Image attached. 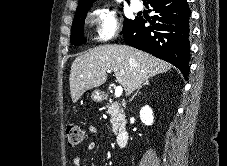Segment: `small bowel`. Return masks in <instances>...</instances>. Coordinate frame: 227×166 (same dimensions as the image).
Instances as JSON below:
<instances>
[{
    "label": "small bowel",
    "mask_w": 227,
    "mask_h": 166,
    "mask_svg": "<svg viewBox=\"0 0 227 166\" xmlns=\"http://www.w3.org/2000/svg\"><path fill=\"white\" fill-rule=\"evenodd\" d=\"M88 131L91 134H95L97 132V128L94 125H90L88 127ZM94 148H95V143L93 141H91L87 144V150H93ZM73 164H74V166H81V161L78 156L74 157Z\"/></svg>",
    "instance_id": "small-bowel-1"
}]
</instances>
